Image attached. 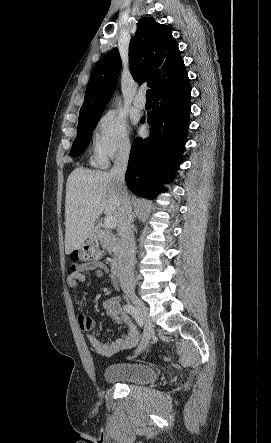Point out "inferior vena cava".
I'll list each match as a JSON object with an SVG mask.
<instances>
[{
    "mask_svg": "<svg viewBox=\"0 0 271 443\" xmlns=\"http://www.w3.org/2000/svg\"><path fill=\"white\" fill-rule=\"evenodd\" d=\"M130 144H122L118 156L114 162L113 168L109 172L110 178H113L116 188L121 196L120 210L121 218L118 223L119 249L116 257V271L121 283V289L125 291L124 296H133L134 285V257L135 241L132 235L133 214L130 202V196L125 184V172L128 166Z\"/></svg>",
    "mask_w": 271,
    "mask_h": 443,
    "instance_id": "inferior-vena-cava-1",
    "label": "inferior vena cava"
}]
</instances>
